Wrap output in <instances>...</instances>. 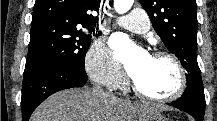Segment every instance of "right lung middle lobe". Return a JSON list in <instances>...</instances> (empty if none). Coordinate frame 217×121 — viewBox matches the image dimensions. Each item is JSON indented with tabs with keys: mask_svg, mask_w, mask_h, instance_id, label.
I'll list each match as a JSON object with an SVG mask.
<instances>
[{
	"mask_svg": "<svg viewBox=\"0 0 217 121\" xmlns=\"http://www.w3.org/2000/svg\"><path fill=\"white\" fill-rule=\"evenodd\" d=\"M90 42L91 36L75 25L57 22L31 25L25 71L48 65H64L85 72L84 58Z\"/></svg>",
	"mask_w": 217,
	"mask_h": 121,
	"instance_id": "dd1d6c3e",
	"label": "right lung middle lobe"
}]
</instances>
